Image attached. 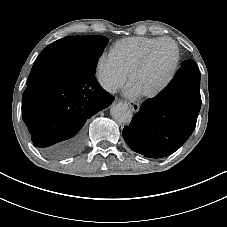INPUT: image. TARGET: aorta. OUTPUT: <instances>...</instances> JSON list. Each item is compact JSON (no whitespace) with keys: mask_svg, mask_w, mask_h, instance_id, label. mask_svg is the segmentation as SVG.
Instances as JSON below:
<instances>
[{"mask_svg":"<svg viewBox=\"0 0 227 227\" xmlns=\"http://www.w3.org/2000/svg\"><path fill=\"white\" fill-rule=\"evenodd\" d=\"M110 114L119 124L130 123L133 117L132 111L126 103L113 104L110 109Z\"/></svg>","mask_w":227,"mask_h":227,"instance_id":"1","label":"aorta"}]
</instances>
